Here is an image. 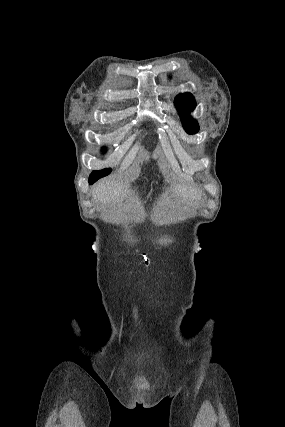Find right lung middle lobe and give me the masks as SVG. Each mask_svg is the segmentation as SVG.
Segmentation results:
<instances>
[{"label":"right lung middle lobe","instance_id":"obj_1","mask_svg":"<svg viewBox=\"0 0 285 427\" xmlns=\"http://www.w3.org/2000/svg\"><path fill=\"white\" fill-rule=\"evenodd\" d=\"M110 172H111L110 168L109 169H103V170H100V171H93L91 173L90 177H94V178L95 177H99V178H101V177H104V176L108 175Z\"/></svg>","mask_w":285,"mask_h":427}]
</instances>
